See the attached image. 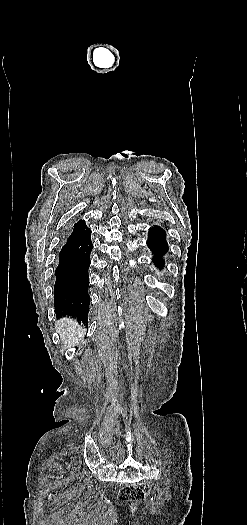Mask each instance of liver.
Wrapping results in <instances>:
<instances>
[{
    "instance_id": "obj_1",
    "label": "liver",
    "mask_w": 247,
    "mask_h": 525,
    "mask_svg": "<svg viewBox=\"0 0 247 525\" xmlns=\"http://www.w3.org/2000/svg\"><path fill=\"white\" fill-rule=\"evenodd\" d=\"M56 333L60 337V341L64 347L71 349L78 341H81L82 335L85 333V329H82L76 321L73 319H59L55 325Z\"/></svg>"
}]
</instances>
